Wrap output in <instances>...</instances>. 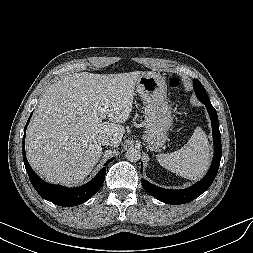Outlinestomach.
<instances>
[{
	"mask_svg": "<svg viewBox=\"0 0 253 253\" xmlns=\"http://www.w3.org/2000/svg\"><path fill=\"white\" fill-rule=\"evenodd\" d=\"M136 88L145 104L144 139L149 149L156 150L166 142L173 122L167 85L160 74L146 73L139 77Z\"/></svg>",
	"mask_w": 253,
	"mask_h": 253,
	"instance_id": "stomach-1",
	"label": "stomach"
}]
</instances>
